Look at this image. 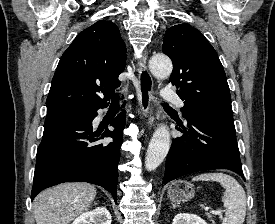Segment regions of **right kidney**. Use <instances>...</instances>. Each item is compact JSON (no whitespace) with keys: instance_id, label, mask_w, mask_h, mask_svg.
Listing matches in <instances>:
<instances>
[{"instance_id":"1","label":"right kidney","mask_w":275,"mask_h":224,"mask_svg":"<svg viewBox=\"0 0 275 224\" xmlns=\"http://www.w3.org/2000/svg\"><path fill=\"white\" fill-rule=\"evenodd\" d=\"M72 224H111V214L105 207H97L81 214Z\"/></svg>"}]
</instances>
